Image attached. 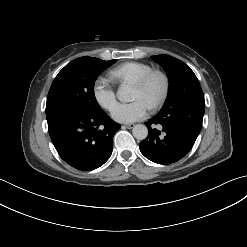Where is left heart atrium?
<instances>
[{"mask_svg":"<svg viewBox=\"0 0 247 247\" xmlns=\"http://www.w3.org/2000/svg\"><path fill=\"white\" fill-rule=\"evenodd\" d=\"M150 106L142 99L132 102L117 103L111 110L112 118L118 122L131 123L144 118Z\"/></svg>","mask_w":247,"mask_h":247,"instance_id":"left-heart-atrium-1","label":"left heart atrium"}]
</instances>
